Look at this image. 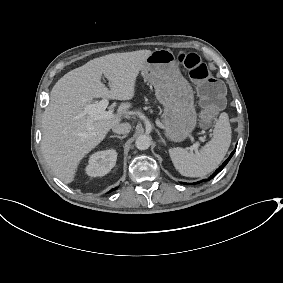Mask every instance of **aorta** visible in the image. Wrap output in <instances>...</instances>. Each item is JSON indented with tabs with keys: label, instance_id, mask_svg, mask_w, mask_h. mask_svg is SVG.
I'll return each mask as SVG.
<instances>
[{
	"label": "aorta",
	"instance_id": "obj_1",
	"mask_svg": "<svg viewBox=\"0 0 283 283\" xmlns=\"http://www.w3.org/2000/svg\"><path fill=\"white\" fill-rule=\"evenodd\" d=\"M151 145V138L147 135H140L135 141V146L139 150H146Z\"/></svg>",
	"mask_w": 283,
	"mask_h": 283
}]
</instances>
